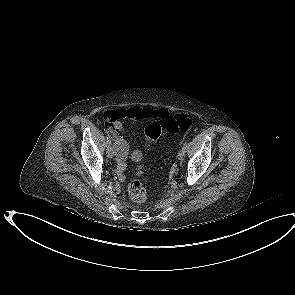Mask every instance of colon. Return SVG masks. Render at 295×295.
<instances>
[{
  "label": "colon",
  "instance_id": "obj_1",
  "mask_svg": "<svg viewBox=\"0 0 295 295\" xmlns=\"http://www.w3.org/2000/svg\"><path fill=\"white\" fill-rule=\"evenodd\" d=\"M192 125L193 121L187 115L177 114L175 116H166L162 121L150 123L143 130V135L145 139H148L149 143H157L160 135L187 132ZM138 171L142 174L143 166H140ZM128 193L130 198L136 203H144L147 200V193L137 180L130 181L128 184Z\"/></svg>",
  "mask_w": 295,
  "mask_h": 295
}]
</instances>
